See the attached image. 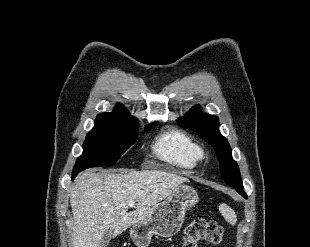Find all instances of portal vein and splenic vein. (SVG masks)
Masks as SVG:
<instances>
[{
  "mask_svg": "<svg viewBox=\"0 0 310 247\" xmlns=\"http://www.w3.org/2000/svg\"><path fill=\"white\" fill-rule=\"evenodd\" d=\"M134 204H135V202H134L133 200H131V201L128 203V205H129L130 207H133Z\"/></svg>",
  "mask_w": 310,
  "mask_h": 247,
  "instance_id": "18ae733b",
  "label": "portal vein and splenic vein"
}]
</instances>
